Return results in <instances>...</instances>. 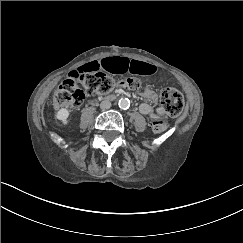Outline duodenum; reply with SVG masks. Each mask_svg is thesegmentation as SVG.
<instances>
[{
  "mask_svg": "<svg viewBox=\"0 0 243 243\" xmlns=\"http://www.w3.org/2000/svg\"><path fill=\"white\" fill-rule=\"evenodd\" d=\"M115 95H108V96H102V97H99L97 100L98 101H101V100H113L115 99Z\"/></svg>",
  "mask_w": 243,
  "mask_h": 243,
  "instance_id": "obj_1",
  "label": "duodenum"
}]
</instances>
